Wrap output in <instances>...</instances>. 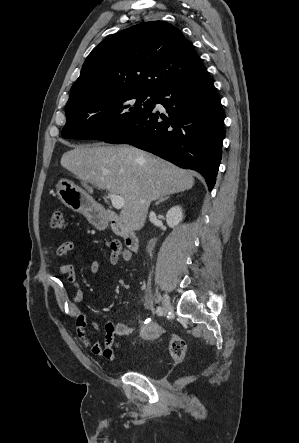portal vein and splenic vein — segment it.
<instances>
[{"label":"portal vein and splenic vein","mask_w":299,"mask_h":443,"mask_svg":"<svg viewBox=\"0 0 299 443\" xmlns=\"http://www.w3.org/2000/svg\"><path fill=\"white\" fill-rule=\"evenodd\" d=\"M108 196L110 197L112 206L115 209L119 210V209H122L124 207L125 201H124V199L121 196L113 194V193H108Z\"/></svg>","instance_id":"portal-vein-and-splenic-vein-1"}]
</instances>
